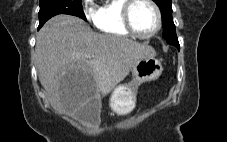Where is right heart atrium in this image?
<instances>
[{"label": "right heart atrium", "instance_id": "1", "mask_svg": "<svg viewBox=\"0 0 227 142\" xmlns=\"http://www.w3.org/2000/svg\"><path fill=\"white\" fill-rule=\"evenodd\" d=\"M82 11L87 20L95 21L97 8L94 0H82Z\"/></svg>", "mask_w": 227, "mask_h": 142}]
</instances>
